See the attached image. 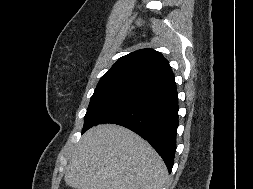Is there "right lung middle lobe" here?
I'll use <instances>...</instances> for the list:
<instances>
[{"label": "right lung middle lobe", "mask_w": 253, "mask_h": 189, "mask_svg": "<svg viewBox=\"0 0 253 189\" xmlns=\"http://www.w3.org/2000/svg\"><path fill=\"white\" fill-rule=\"evenodd\" d=\"M148 92L132 87H106L95 89L84 117L82 133L105 116L140 99Z\"/></svg>", "instance_id": "1"}]
</instances>
